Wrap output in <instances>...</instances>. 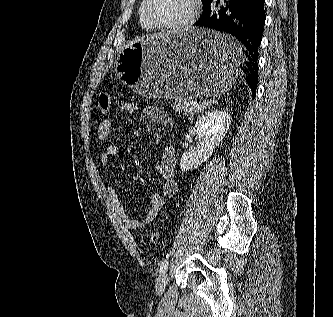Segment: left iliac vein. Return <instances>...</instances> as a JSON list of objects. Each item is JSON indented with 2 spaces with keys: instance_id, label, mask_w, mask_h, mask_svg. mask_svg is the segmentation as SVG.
<instances>
[{
  "instance_id": "1",
  "label": "left iliac vein",
  "mask_w": 333,
  "mask_h": 317,
  "mask_svg": "<svg viewBox=\"0 0 333 317\" xmlns=\"http://www.w3.org/2000/svg\"><path fill=\"white\" fill-rule=\"evenodd\" d=\"M168 280H169V278H168L167 272H164L159 276V278L157 279V282H156V286H155L156 292L158 294H162L164 292L166 285L168 283Z\"/></svg>"
}]
</instances>
